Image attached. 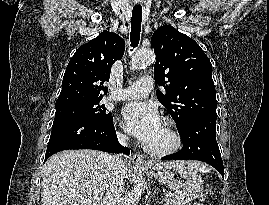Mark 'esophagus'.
<instances>
[{"label":"esophagus","mask_w":269,"mask_h":205,"mask_svg":"<svg viewBox=\"0 0 269 205\" xmlns=\"http://www.w3.org/2000/svg\"><path fill=\"white\" fill-rule=\"evenodd\" d=\"M132 162L135 165H147L148 163L145 161L144 156L141 153H135L132 158Z\"/></svg>","instance_id":"obj_1"}]
</instances>
